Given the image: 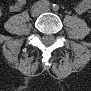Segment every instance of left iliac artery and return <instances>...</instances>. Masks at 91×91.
Instances as JSON below:
<instances>
[{
  "label": "left iliac artery",
  "instance_id": "left-iliac-artery-1",
  "mask_svg": "<svg viewBox=\"0 0 91 91\" xmlns=\"http://www.w3.org/2000/svg\"><path fill=\"white\" fill-rule=\"evenodd\" d=\"M52 9H53L54 11H58V10H59V6H58L57 4H53Z\"/></svg>",
  "mask_w": 91,
  "mask_h": 91
}]
</instances>
